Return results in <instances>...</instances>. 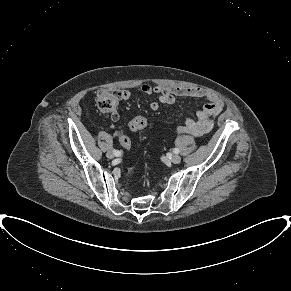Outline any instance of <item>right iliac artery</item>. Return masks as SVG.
Returning <instances> with one entry per match:
<instances>
[{
  "label": "right iliac artery",
  "mask_w": 291,
  "mask_h": 291,
  "mask_svg": "<svg viewBox=\"0 0 291 291\" xmlns=\"http://www.w3.org/2000/svg\"><path fill=\"white\" fill-rule=\"evenodd\" d=\"M113 152L116 156H120L122 154V152L119 150H113Z\"/></svg>",
  "instance_id": "obj_1"
}]
</instances>
